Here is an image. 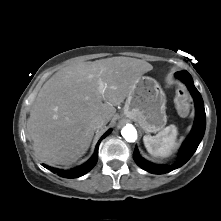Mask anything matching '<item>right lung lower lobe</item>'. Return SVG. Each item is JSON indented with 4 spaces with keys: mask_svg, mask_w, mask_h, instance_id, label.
<instances>
[{
    "mask_svg": "<svg viewBox=\"0 0 221 221\" xmlns=\"http://www.w3.org/2000/svg\"><path fill=\"white\" fill-rule=\"evenodd\" d=\"M110 131L111 130L107 131L101 137V139L99 140V142L96 145V149H95V152H94L93 156L85 164H83L79 167L73 168V169H69V170H60V169L49 167L45 164H43V166L47 169H50L53 172H57L59 174V176L64 177V178H77V177L83 176L84 174L89 172L95 166V164L97 163L99 143L101 142V140L103 138H105L110 133Z\"/></svg>",
    "mask_w": 221,
    "mask_h": 221,
    "instance_id": "1",
    "label": "right lung lower lobe"
}]
</instances>
